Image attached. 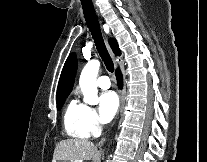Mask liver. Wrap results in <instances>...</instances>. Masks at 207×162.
Instances as JSON below:
<instances>
[{"label":"liver","instance_id":"6515ba94","mask_svg":"<svg viewBox=\"0 0 207 162\" xmlns=\"http://www.w3.org/2000/svg\"><path fill=\"white\" fill-rule=\"evenodd\" d=\"M100 158L101 152L93 142L85 139H66L56 145L52 162L57 160L70 162L93 160L95 162Z\"/></svg>","mask_w":207,"mask_h":162}]
</instances>
